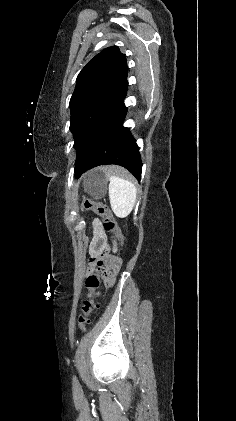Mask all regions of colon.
Masks as SVG:
<instances>
[{
	"mask_svg": "<svg viewBox=\"0 0 236 421\" xmlns=\"http://www.w3.org/2000/svg\"><path fill=\"white\" fill-rule=\"evenodd\" d=\"M81 208L83 210H92L103 219V227L106 231L113 233L112 239L116 247H118L122 243L123 234L121 232V229L118 226L110 209L105 204L93 201H85L82 204ZM104 255L105 253L100 254L98 256H93L91 257L89 262L88 274L85 280V285L90 293V297L86 298L83 301L82 311L77 318L78 326L81 331L86 330L87 324L89 323V316L99 308V305L94 300V294L96 290L100 287L101 277L104 273Z\"/></svg>",
	"mask_w": 236,
	"mask_h": 421,
	"instance_id": "1",
	"label": "colon"
}]
</instances>
